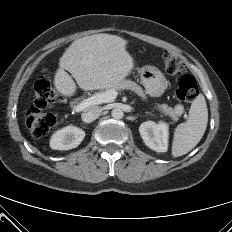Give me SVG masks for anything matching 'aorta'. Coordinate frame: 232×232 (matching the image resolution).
I'll return each mask as SVG.
<instances>
[{
  "mask_svg": "<svg viewBox=\"0 0 232 232\" xmlns=\"http://www.w3.org/2000/svg\"><path fill=\"white\" fill-rule=\"evenodd\" d=\"M111 115L114 119H121L123 118L124 113L120 108H114L111 112Z\"/></svg>",
  "mask_w": 232,
  "mask_h": 232,
  "instance_id": "1",
  "label": "aorta"
}]
</instances>
